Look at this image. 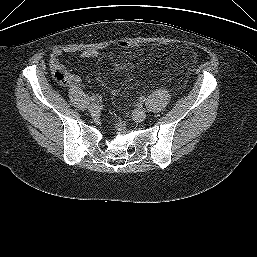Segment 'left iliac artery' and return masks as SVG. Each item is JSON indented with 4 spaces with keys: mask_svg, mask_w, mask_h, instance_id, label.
<instances>
[{
    "mask_svg": "<svg viewBox=\"0 0 257 257\" xmlns=\"http://www.w3.org/2000/svg\"><path fill=\"white\" fill-rule=\"evenodd\" d=\"M141 102H144L146 100L145 97H140Z\"/></svg>",
    "mask_w": 257,
    "mask_h": 257,
    "instance_id": "obj_1",
    "label": "left iliac artery"
}]
</instances>
